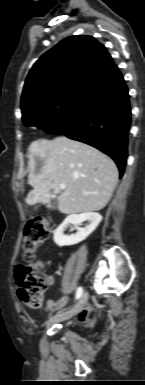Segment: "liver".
Returning <instances> with one entry per match:
<instances>
[{
    "instance_id": "6515ba94",
    "label": "liver",
    "mask_w": 145,
    "mask_h": 385,
    "mask_svg": "<svg viewBox=\"0 0 145 385\" xmlns=\"http://www.w3.org/2000/svg\"><path fill=\"white\" fill-rule=\"evenodd\" d=\"M117 182L113 160L85 143L60 136L36 140L29 147V205L49 203L54 190L60 193L61 213L99 211L110 201ZM61 183L65 189L59 188Z\"/></svg>"
}]
</instances>
